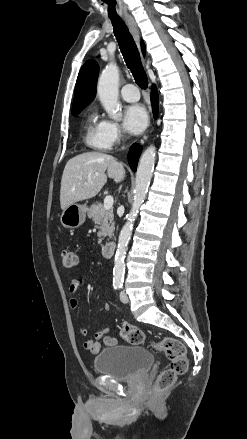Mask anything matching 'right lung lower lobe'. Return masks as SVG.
Masks as SVG:
<instances>
[{
	"label": "right lung lower lobe",
	"mask_w": 247,
	"mask_h": 439,
	"mask_svg": "<svg viewBox=\"0 0 247 439\" xmlns=\"http://www.w3.org/2000/svg\"><path fill=\"white\" fill-rule=\"evenodd\" d=\"M151 102H152L153 114L154 117H156L158 114V93L157 90L155 89V86L152 89ZM141 150H142L141 146L135 144L132 145L130 148V152L128 154V162L133 171H136L137 162L141 154Z\"/></svg>",
	"instance_id": "1"
}]
</instances>
